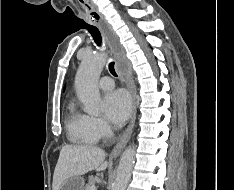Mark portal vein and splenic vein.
I'll return each instance as SVG.
<instances>
[{"label":"portal vein and splenic vein","instance_id":"portal-vein-and-splenic-vein-1","mask_svg":"<svg viewBox=\"0 0 234 190\" xmlns=\"http://www.w3.org/2000/svg\"><path fill=\"white\" fill-rule=\"evenodd\" d=\"M91 190H96V187H95V186H92Z\"/></svg>","mask_w":234,"mask_h":190}]
</instances>
